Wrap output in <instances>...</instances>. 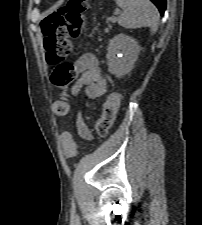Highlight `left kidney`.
I'll return each mask as SVG.
<instances>
[{
    "instance_id": "obj_1",
    "label": "left kidney",
    "mask_w": 202,
    "mask_h": 225,
    "mask_svg": "<svg viewBox=\"0 0 202 225\" xmlns=\"http://www.w3.org/2000/svg\"><path fill=\"white\" fill-rule=\"evenodd\" d=\"M138 42L125 34L114 36L108 45V71L117 78L128 74L134 66L140 53Z\"/></svg>"
}]
</instances>
